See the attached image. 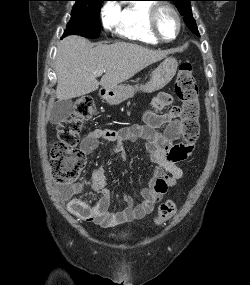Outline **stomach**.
<instances>
[{"mask_svg":"<svg viewBox=\"0 0 250 285\" xmlns=\"http://www.w3.org/2000/svg\"><path fill=\"white\" fill-rule=\"evenodd\" d=\"M178 63L174 58H166L153 72L151 79L144 85H118L105 89L103 98L110 105H118L132 98L137 91L152 93L163 89L175 76Z\"/></svg>","mask_w":250,"mask_h":285,"instance_id":"obj_1","label":"stomach"}]
</instances>
